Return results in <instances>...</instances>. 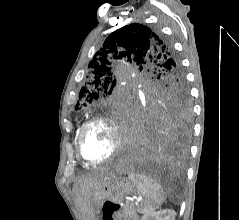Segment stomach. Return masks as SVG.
Returning a JSON list of instances; mask_svg holds the SVG:
<instances>
[{"mask_svg": "<svg viewBox=\"0 0 239 220\" xmlns=\"http://www.w3.org/2000/svg\"><path fill=\"white\" fill-rule=\"evenodd\" d=\"M136 186L123 177H112L103 187L91 193V204L95 213H99L98 220H123L122 205H118L124 197L135 194Z\"/></svg>", "mask_w": 239, "mask_h": 220, "instance_id": "obj_1", "label": "stomach"}]
</instances>
